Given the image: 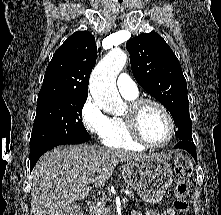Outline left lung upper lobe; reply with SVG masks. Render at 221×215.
Segmentation results:
<instances>
[{
  "instance_id": "left-lung-upper-lobe-1",
  "label": "left lung upper lobe",
  "mask_w": 221,
  "mask_h": 215,
  "mask_svg": "<svg viewBox=\"0 0 221 215\" xmlns=\"http://www.w3.org/2000/svg\"><path fill=\"white\" fill-rule=\"evenodd\" d=\"M126 48L137 82L171 113L178 128L175 135L181 140H192L187 84L172 49L155 32L135 36Z\"/></svg>"
}]
</instances>
